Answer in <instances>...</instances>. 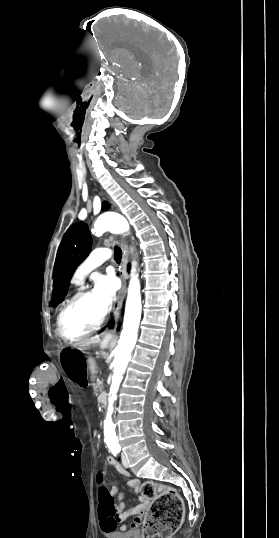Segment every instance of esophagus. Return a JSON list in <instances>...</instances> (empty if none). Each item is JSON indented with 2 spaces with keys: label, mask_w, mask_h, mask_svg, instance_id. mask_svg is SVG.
Returning a JSON list of instances; mask_svg holds the SVG:
<instances>
[{
  "label": "esophagus",
  "mask_w": 279,
  "mask_h": 538,
  "mask_svg": "<svg viewBox=\"0 0 279 538\" xmlns=\"http://www.w3.org/2000/svg\"><path fill=\"white\" fill-rule=\"evenodd\" d=\"M121 247H122V260L120 264L121 288L117 295V307H115L114 309L115 326L113 327V329H106L103 332V337L106 339H113L116 337L117 321L119 318V313L122 308L124 296L126 293V266H127V262L129 258V253H128V246H127V243L125 242L124 237L122 238Z\"/></svg>",
  "instance_id": "esophagus-1"
}]
</instances>
